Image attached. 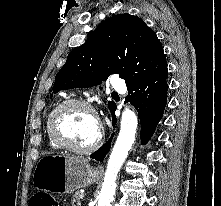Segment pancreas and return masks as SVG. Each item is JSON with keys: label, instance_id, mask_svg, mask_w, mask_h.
Instances as JSON below:
<instances>
[{"label": "pancreas", "instance_id": "pancreas-1", "mask_svg": "<svg viewBox=\"0 0 221 206\" xmlns=\"http://www.w3.org/2000/svg\"><path fill=\"white\" fill-rule=\"evenodd\" d=\"M81 195L80 192H75L72 199V206H80L81 205Z\"/></svg>", "mask_w": 221, "mask_h": 206}]
</instances>
